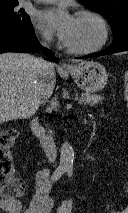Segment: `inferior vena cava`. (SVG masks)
Segmentation results:
<instances>
[{
	"label": "inferior vena cava",
	"instance_id": "602c4592",
	"mask_svg": "<svg viewBox=\"0 0 128 213\" xmlns=\"http://www.w3.org/2000/svg\"><path fill=\"white\" fill-rule=\"evenodd\" d=\"M46 40L49 42V39H46ZM43 45L47 46L46 41L44 42ZM36 64H37L39 76H40L38 89H37L38 101L40 104H46L48 103L53 91L47 84V77L49 75V71L52 67V64L42 58L37 59Z\"/></svg>",
	"mask_w": 128,
	"mask_h": 213
}]
</instances>
